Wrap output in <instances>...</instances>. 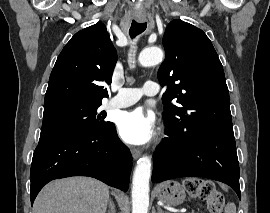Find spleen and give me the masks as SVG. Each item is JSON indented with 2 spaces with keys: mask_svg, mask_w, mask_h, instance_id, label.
<instances>
[{
  "mask_svg": "<svg viewBox=\"0 0 270 213\" xmlns=\"http://www.w3.org/2000/svg\"><path fill=\"white\" fill-rule=\"evenodd\" d=\"M225 213H236V206L234 203H228L225 207Z\"/></svg>",
  "mask_w": 270,
  "mask_h": 213,
  "instance_id": "1",
  "label": "spleen"
}]
</instances>
